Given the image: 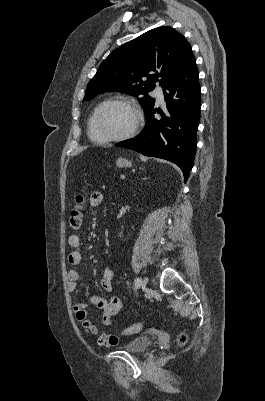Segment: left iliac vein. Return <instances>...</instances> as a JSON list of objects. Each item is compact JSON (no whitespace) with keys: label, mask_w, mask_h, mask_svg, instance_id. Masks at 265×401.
Instances as JSON below:
<instances>
[{"label":"left iliac vein","mask_w":265,"mask_h":401,"mask_svg":"<svg viewBox=\"0 0 265 401\" xmlns=\"http://www.w3.org/2000/svg\"><path fill=\"white\" fill-rule=\"evenodd\" d=\"M146 282H147L146 280L142 281L140 287L141 288H146Z\"/></svg>","instance_id":"obj_1"}]
</instances>
